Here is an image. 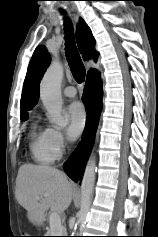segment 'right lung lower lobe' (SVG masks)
<instances>
[{
	"mask_svg": "<svg viewBox=\"0 0 158 237\" xmlns=\"http://www.w3.org/2000/svg\"><path fill=\"white\" fill-rule=\"evenodd\" d=\"M102 88L97 71L87 75L82 100L86 106L88 119L82 140L63 167L67 175L75 182L82 176L84 164L88 158L102 109Z\"/></svg>",
	"mask_w": 158,
	"mask_h": 237,
	"instance_id": "1",
	"label": "right lung lower lobe"
}]
</instances>
